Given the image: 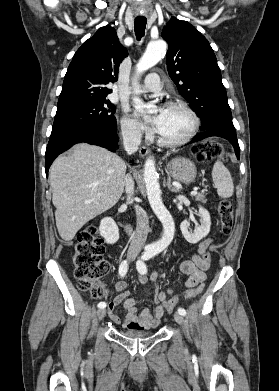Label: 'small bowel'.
<instances>
[{
	"instance_id": "obj_1",
	"label": "small bowel",
	"mask_w": 279,
	"mask_h": 391,
	"mask_svg": "<svg viewBox=\"0 0 279 391\" xmlns=\"http://www.w3.org/2000/svg\"><path fill=\"white\" fill-rule=\"evenodd\" d=\"M212 240L210 238L204 239L199 243L197 253L193 254L191 259L184 260L180 263V271L187 275L184 286L186 289L196 287L198 294L201 293L207 278L206 271L210 268L211 262L204 260L203 255L207 252ZM140 283L147 282L145 276L139 278ZM151 281L158 286V275L153 273ZM116 296L109 303L108 315L110 319L117 325L131 329V330H149L157 327L164 319L165 308L167 305L168 296L172 295V290H159L156 292V305L153 311L143 309L138 313L136 308V300L130 297V292L127 289V283L120 281L115 285ZM197 294V295H198ZM123 304L125 310L124 319H121L116 314V308Z\"/></svg>"
}]
</instances>
